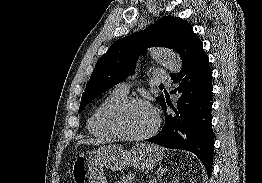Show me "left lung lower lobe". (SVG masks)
I'll return each instance as SVG.
<instances>
[{
  "instance_id": "1",
  "label": "left lung lower lobe",
  "mask_w": 262,
  "mask_h": 183,
  "mask_svg": "<svg viewBox=\"0 0 262 183\" xmlns=\"http://www.w3.org/2000/svg\"><path fill=\"white\" fill-rule=\"evenodd\" d=\"M171 79L179 86L176 108L165 99L160 104L165 114L162 130L147 141L167 148L194 153L205 165L208 175L212 172L214 133L211 125L212 70L203 48L183 65L181 72ZM166 103L174 114H167Z\"/></svg>"
}]
</instances>
